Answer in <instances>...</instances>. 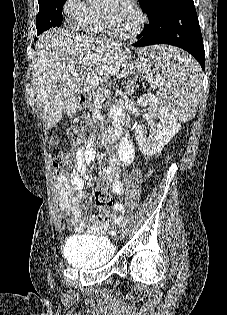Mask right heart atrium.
<instances>
[{
  "mask_svg": "<svg viewBox=\"0 0 227 315\" xmlns=\"http://www.w3.org/2000/svg\"><path fill=\"white\" fill-rule=\"evenodd\" d=\"M62 12L69 25L79 27H83L96 15L84 0H65Z\"/></svg>",
  "mask_w": 227,
  "mask_h": 315,
  "instance_id": "d8ad5b80",
  "label": "right heart atrium"
}]
</instances>
